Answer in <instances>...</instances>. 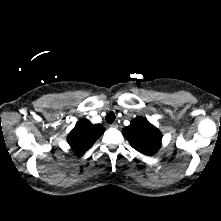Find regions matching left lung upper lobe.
I'll list each match as a JSON object with an SVG mask.
<instances>
[{
    "label": "left lung upper lobe",
    "mask_w": 221,
    "mask_h": 221,
    "mask_svg": "<svg viewBox=\"0 0 221 221\" xmlns=\"http://www.w3.org/2000/svg\"><path fill=\"white\" fill-rule=\"evenodd\" d=\"M122 133L131 146L144 155H152L160 148L162 135L146 118L132 120Z\"/></svg>",
    "instance_id": "1"
}]
</instances>
